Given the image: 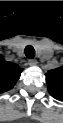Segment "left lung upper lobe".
<instances>
[{
    "label": "left lung upper lobe",
    "instance_id": "left-lung-upper-lobe-1",
    "mask_svg": "<svg viewBox=\"0 0 63 123\" xmlns=\"http://www.w3.org/2000/svg\"><path fill=\"white\" fill-rule=\"evenodd\" d=\"M48 91L57 100H63V67L49 70L46 73Z\"/></svg>",
    "mask_w": 63,
    "mask_h": 123
}]
</instances>
